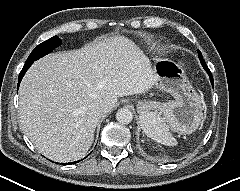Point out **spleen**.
Returning <instances> with one entry per match:
<instances>
[{
  "label": "spleen",
  "instance_id": "1",
  "mask_svg": "<svg viewBox=\"0 0 240 191\" xmlns=\"http://www.w3.org/2000/svg\"><path fill=\"white\" fill-rule=\"evenodd\" d=\"M141 127L144 133L152 140L167 146H176L177 141L169 131V125L165 117L157 111L140 117Z\"/></svg>",
  "mask_w": 240,
  "mask_h": 191
}]
</instances>
